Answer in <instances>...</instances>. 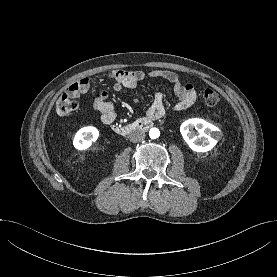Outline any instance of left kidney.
<instances>
[{
	"label": "left kidney",
	"instance_id": "5707ae66",
	"mask_svg": "<svg viewBox=\"0 0 277 277\" xmlns=\"http://www.w3.org/2000/svg\"><path fill=\"white\" fill-rule=\"evenodd\" d=\"M193 128L198 131V136L194 135ZM180 132L190 149L195 152L211 150L220 138L219 128L201 118L186 120L181 124Z\"/></svg>",
	"mask_w": 277,
	"mask_h": 277
}]
</instances>
